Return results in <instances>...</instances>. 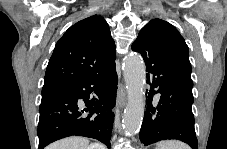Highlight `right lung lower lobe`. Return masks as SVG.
<instances>
[{"mask_svg": "<svg viewBox=\"0 0 227 149\" xmlns=\"http://www.w3.org/2000/svg\"><path fill=\"white\" fill-rule=\"evenodd\" d=\"M117 81L114 59L42 100L37 129L39 149L73 135L97 139L110 148ZM78 100L84 101V109L78 107Z\"/></svg>", "mask_w": 227, "mask_h": 149, "instance_id": "right-lung-lower-lobe-1", "label": "right lung lower lobe"}]
</instances>
